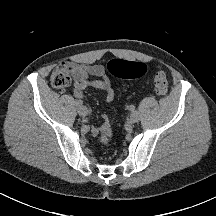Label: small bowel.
I'll return each instance as SVG.
<instances>
[{
  "label": "small bowel",
  "instance_id": "1",
  "mask_svg": "<svg viewBox=\"0 0 216 216\" xmlns=\"http://www.w3.org/2000/svg\"><path fill=\"white\" fill-rule=\"evenodd\" d=\"M73 81V95L77 99H83V91L87 87H93L105 93V102L110 103L115 97L114 89L105 74V68L100 64L66 63ZM95 78V79H92ZM93 135L97 130L92 131Z\"/></svg>",
  "mask_w": 216,
  "mask_h": 216
}]
</instances>
